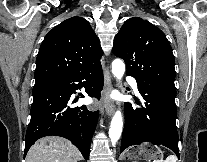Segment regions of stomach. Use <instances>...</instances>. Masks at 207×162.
Here are the masks:
<instances>
[{"mask_svg": "<svg viewBox=\"0 0 207 162\" xmlns=\"http://www.w3.org/2000/svg\"><path fill=\"white\" fill-rule=\"evenodd\" d=\"M161 157V150L150 143H143L135 148L127 150L123 155L125 160H159Z\"/></svg>", "mask_w": 207, "mask_h": 162, "instance_id": "obj_1", "label": "stomach"}]
</instances>
